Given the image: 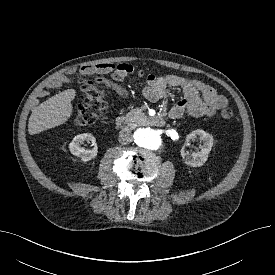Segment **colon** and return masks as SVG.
I'll use <instances>...</instances> for the list:
<instances>
[{
    "label": "colon",
    "mask_w": 275,
    "mask_h": 275,
    "mask_svg": "<svg viewBox=\"0 0 275 275\" xmlns=\"http://www.w3.org/2000/svg\"><path fill=\"white\" fill-rule=\"evenodd\" d=\"M117 70H123V65H115ZM84 93V100L80 105L74 124L78 127L88 126L95 123L107 108V101L103 90L93 80H83L80 83ZM220 117L224 120H230L233 117V111L225 107L220 111Z\"/></svg>",
    "instance_id": "1"
}]
</instances>
